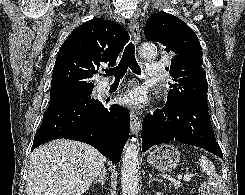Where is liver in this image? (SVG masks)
<instances>
[{
  "label": "liver",
  "mask_w": 245,
  "mask_h": 195,
  "mask_svg": "<svg viewBox=\"0 0 245 195\" xmlns=\"http://www.w3.org/2000/svg\"><path fill=\"white\" fill-rule=\"evenodd\" d=\"M105 157L83 142L58 139L30 155L27 195H82L104 169Z\"/></svg>",
  "instance_id": "liver-1"
}]
</instances>
